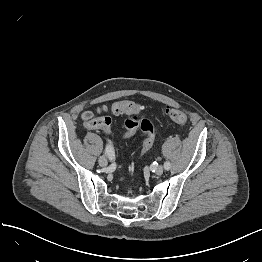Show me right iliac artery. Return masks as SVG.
Masks as SVG:
<instances>
[{
  "instance_id": "obj_1",
  "label": "right iliac artery",
  "mask_w": 262,
  "mask_h": 262,
  "mask_svg": "<svg viewBox=\"0 0 262 262\" xmlns=\"http://www.w3.org/2000/svg\"><path fill=\"white\" fill-rule=\"evenodd\" d=\"M105 154L109 157L112 158L114 156V148L113 145L111 143H108L106 145V149H105Z\"/></svg>"
}]
</instances>
